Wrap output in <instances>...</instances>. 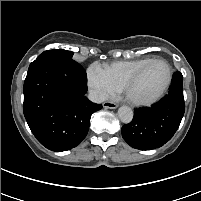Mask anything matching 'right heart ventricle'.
Wrapping results in <instances>:
<instances>
[{"mask_svg": "<svg viewBox=\"0 0 201 201\" xmlns=\"http://www.w3.org/2000/svg\"><path fill=\"white\" fill-rule=\"evenodd\" d=\"M151 59L153 58L145 57L136 60L117 61L106 65L104 69L116 87L121 90L126 80Z\"/></svg>", "mask_w": 201, "mask_h": 201, "instance_id": "e07e8e85", "label": "right heart ventricle"}]
</instances>
